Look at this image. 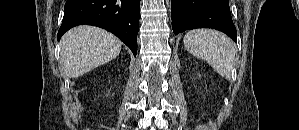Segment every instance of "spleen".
<instances>
[{
	"label": "spleen",
	"mask_w": 299,
	"mask_h": 130,
	"mask_svg": "<svg viewBox=\"0 0 299 130\" xmlns=\"http://www.w3.org/2000/svg\"><path fill=\"white\" fill-rule=\"evenodd\" d=\"M186 50L205 60L220 76L229 78L236 56L231 40L211 29H196L184 36Z\"/></svg>",
	"instance_id": "3e777b00"
}]
</instances>
